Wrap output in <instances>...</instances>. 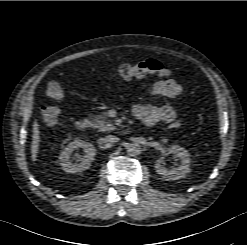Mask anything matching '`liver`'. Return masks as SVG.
I'll list each match as a JSON object with an SVG mask.
<instances>
[{
	"mask_svg": "<svg viewBox=\"0 0 247 245\" xmlns=\"http://www.w3.org/2000/svg\"><path fill=\"white\" fill-rule=\"evenodd\" d=\"M38 123L34 122L33 124V135H32V143H31V158L32 161L35 162L37 158L39 143H40V135H39Z\"/></svg>",
	"mask_w": 247,
	"mask_h": 245,
	"instance_id": "liver-1",
	"label": "liver"
}]
</instances>
